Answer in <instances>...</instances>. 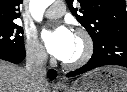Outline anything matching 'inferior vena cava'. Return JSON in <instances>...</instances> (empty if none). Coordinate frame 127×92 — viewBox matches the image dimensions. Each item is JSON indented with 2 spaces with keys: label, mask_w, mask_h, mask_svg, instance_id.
Segmentation results:
<instances>
[{
  "label": "inferior vena cava",
  "mask_w": 127,
  "mask_h": 92,
  "mask_svg": "<svg viewBox=\"0 0 127 92\" xmlns=\"http://www.w3.org/2000/svg\"><path fill=\"white\" fill-rule=\"evenodd\" d=\"M47 53L42 48H33L27 53L26 70L39 84H46Z\"/></svg>",
  "instance_id": "inferior-vena-cava-1"
}]
</instances>
